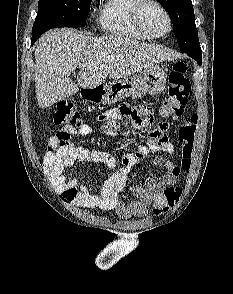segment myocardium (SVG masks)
<instances>
[{
  "label": "myocardium",
  "mask_w": 233,
  "mask_h": 294,
  "mask_svg": "<svg viewBox=\"0 0 233 294\" xmlns=\"http://www.w3.org/2000/svg\"><path fill=\"white\" fill-rule=\"evenodd\" d=\"M148 6H155L159 8L165 15L167 22H168V29L165 33L160 35H155L151 33L145 26L143 21V13L146 7ZM133 19L134 23L137 26V28L146 36H148L150 39H160L168 36L172 29H173V20L171 17L170 12L168 9L158 0H139L136 4L134 11H133Z\"/></svg>",
  "instance_id": "obj_1"
}]
</instances>
